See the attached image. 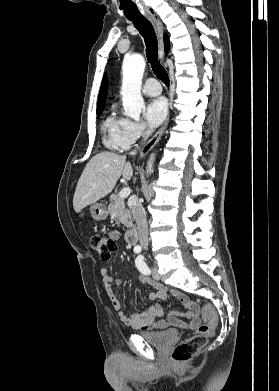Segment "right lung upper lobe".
Masks as SVG:
<instances>
[{"instance_id":"obj_1","label":"right lung upper lobe","mask_w":279,"mask_h":391,"mask_svg":"<svg viewBox=\"0 0 279 391\" xmlns=\"http://www.w3.org/2000/svg\"><path fill=\"white\" fill-rule=\"evenodd\" d=\"M164 43H165V51L167 52L169 50L170 44L167 35H164ZM107 76L106 74L103 77V81L101 84L99 96H98V104H97V109H103V106L106 101V96H107Z\"/></svg>"}]
</instances>
